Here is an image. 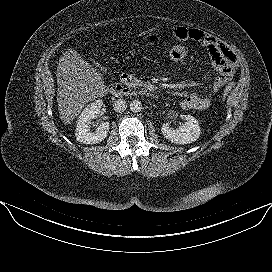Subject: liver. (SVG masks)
Returning a JSON list of instances; mask_svg holds the SVG:
<instances>
[{"mask_svg":"<svg viewBox=\"0 0 272 272\" xmlns=\"http://www.w3.org/2000/svg\"><path fill=\"white\" fill-rule=\"evenodd\" d=\"M56 78L58 110L64 124H70L88 102L106 92L103 75L72 49L60 57Z\"/></svg>","mask_w":272,"mask_h":272,"instance_id":"liver-1","label":"liver"}]
</instances>
